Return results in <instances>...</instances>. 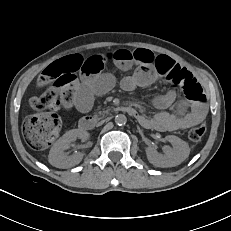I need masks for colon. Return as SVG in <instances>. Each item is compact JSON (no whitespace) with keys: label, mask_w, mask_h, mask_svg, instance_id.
Instances as JSON below:
<instances>
[{"label":"colon","mask_w":231,"mask_h":231,"mask_svg":"<svg viewBox=\"0 0 231 231\" xmlns=\"http://www.w3.org/2000/svg\"><path fill=\"white\" fill-rule=\"evenodd\" d=\"M74 75L68 65L57 61L49 65L39 76L37 86L43 89L40 95L30 99L32 108L38 111L56 110L60 102L72 98ZM170 81L190 99L204 100L203 91L190 72L175 71ZM61 121L54 112H41L31 116L25 123L24 136L28 145L34 150L48 148L57 137ZM203 125L195 126L188 132L191 141H199L205 134Z\"/></svg>","instance_id":"5ec220e1"}]
</instances>
